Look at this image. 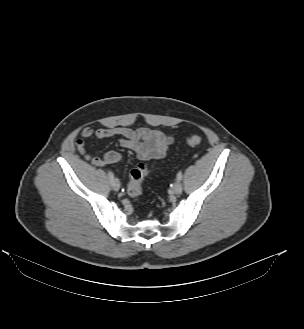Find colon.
Returning <instances> with one entry per match:
<instances>
[{
  "label": "colon",
  "mask_w": 304,
  "mask_h": 329,
  "mask_svg": "<svg viewBox=\"0 0 304 329\" xmlns=\"http://www.w3.org/2000/svg\"><path fill=\"white\" fill-rule=\"evenodd\" d=\"M203 137L201 135L195 134L187 137L186 145L190 147H196L202 144ZM151 172V168L140 162L134 167L130 172L129 184H128V194L133 198H139L143 194L142 182L143 179Z\"/></svg>",
  "instance_id": "obj_1"
}]
</instances>
